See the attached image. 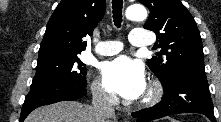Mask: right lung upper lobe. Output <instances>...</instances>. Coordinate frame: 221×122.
I'll list each match as a JSON object with an SVG mask.
<instances>
[{"label": "right lung upper lobe", "instance_id": "right-lung-upper-lobe-1", "mask_svg": "<svg viewBox=\"0 0 221 122\" xmlns=\"http://www.w3.org/2000/svg\"><path fill=\"white\" fill-rule=\"evenodd\" d=\"M106 9V0H62L50 17L38 59L79 55L86 48L83 38L92 35Z\"/></svg>", "mask_w": 221, "mask_h": 122}]
</instances>
